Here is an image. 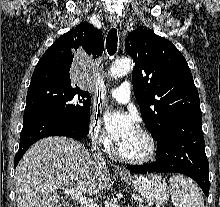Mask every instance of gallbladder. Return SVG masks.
<instances>
[{"label": "gallbladder", "mask_w": 220, "mask_h": 207, "mask_svg": "<svg viewBox=\"0 0 220 207\" xmlns=\"http://www.w3.org/2000/svg\"><path fill=\"white\" fill-rule=\"evenodd\" d=\"M66 205V202L64 200L60 201L56 207H64Z\"/></svg>", "instance_id": "bac80fb5"}]
</instances>
